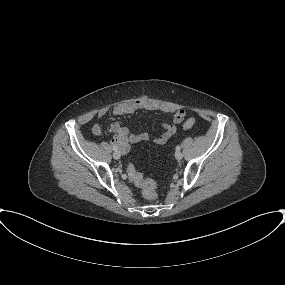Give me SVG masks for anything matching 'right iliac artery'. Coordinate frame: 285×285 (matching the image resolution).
<instances>
[{
	"instance_id": "1",
	"label": "right iliac artery",
	"mask_w": 285,
	"mask_h": 285,
	"mask_svg": "<svg viewBox=\"0 0 285 285\" xmlns=\"http://www.w3.org/2000/svg\"><path fill=\"white\" fill-rule=\"evenodd\" d=\"M113 150H118V147L117 146H113Z\"/></svg>"
}]
</instances>
